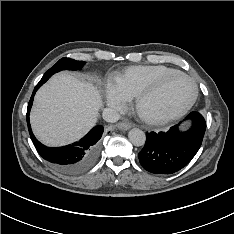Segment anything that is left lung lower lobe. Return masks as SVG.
<instances>
[{"instance_id":"1","label":"left lung lower lobe","mask_w":234,"mask_h":234,"mask_svg":"<svg viewBox=\"0 0 234 234\" xmlns=\"http://www.w3.org/2000/svg\"><path fill=\"white\" fill-rule=\"evenodd\" d=\"M185 120L191 127L182 132L175 125L167 132L146 134V143L138 158L142 167L156 174H172L186 166L198 152L206 122L199 112H191Z\"/></svg>"}]
</instances>
